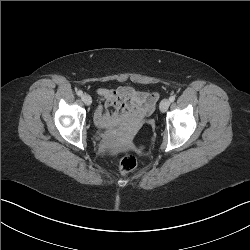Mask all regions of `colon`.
<instances>
[{
  "label": "colon",
  "mask_w": 250,
  "mask_h": 250,
  "mask_svg": "<svg viewBox=\"0 0 250 250\" xmlns=\"http://www.w3.org/2000/svg\"><path fill=\"white\" fill-rule=\"evenodd\" d=\"M108 137H114V132H108ZM143 146H140L141 149ZM137 165V159L133 155H125L120 159L119 171L121 174L131 172Z\"/></svg>",
  "instance_id": "colon-1"
}]
</instances>
